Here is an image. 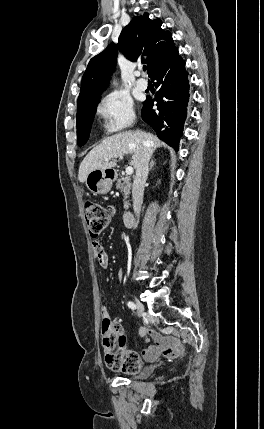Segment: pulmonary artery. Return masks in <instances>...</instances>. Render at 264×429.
Here are the masks:
<instances>
[{"label":"pulmonary artery","mask_w":264,"mask_h":429,"mask_svg":"<svg viewBox=\"0 0 264 429\" xmlns=\"http://www.w3.org/2000/svg\"><path fill=\"white\" fill-rule=\"evenodd\" d=\"M137 76H140V72H137ZM136 87H137V89H139V90H141V91H144V90H146L147 89V87H148V84H147V81L145 80V79H143V78H139L137 81H136Z\"/></svg>","instance_id":"obj_1"}]
</instances>
